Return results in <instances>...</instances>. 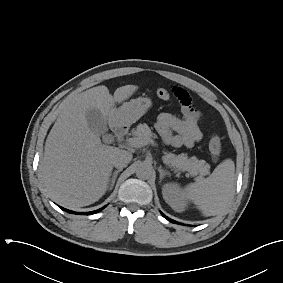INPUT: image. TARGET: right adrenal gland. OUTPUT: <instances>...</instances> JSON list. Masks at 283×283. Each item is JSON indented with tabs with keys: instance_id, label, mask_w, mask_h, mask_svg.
I'll use <instances>...</instances> for the list:
<instances>
[{
	"instance_id": "1",
	"label": "right adrenal gland",
	"mask_w": 283,
	"mask_h": 283,
	"mask_svg": "<svg viewBox=\"0 0 283 283\" xmlns=\"http://www.w3.org/2000/svg\"><path fill=\"white\" fill-rule=\"evenodd\" d=\"M122 171V169H118L116 171L113 172L112 177L109 179V189L112 190L113 186L115 184L116 178L118 176V173H120Z\"/></svg>"
}]
</instances>
